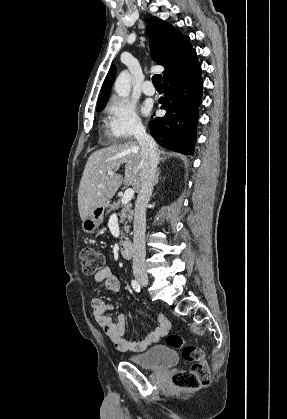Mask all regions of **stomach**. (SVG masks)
I'll list each match as a JSON object with an SVG mask.
<instances>
[{
	"label": "stomach",
	"instance_id": "1",
	"mask_svg": "<svg viewBox=\"0 0 287 419\" xmlns=\"http://www.w3.org/2000/svg\"><path fill=\"white\" fill-rule=\"evenodd\" d=\"M104 207L96 208L85 220L82 222V229L86 233H93L103 222L105 209Z\"/></svg>",
	"mask_w": 287,
	"mask_h": 419
}]
</instances>
